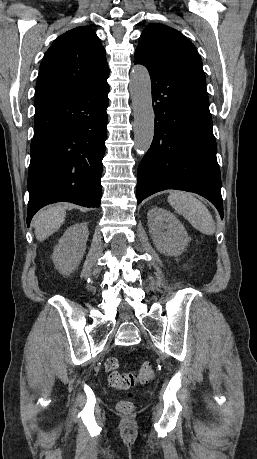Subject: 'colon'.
Masks as SVG:
<instances>
[{"instance_id": "1", "label": "colon", "mask_w": 257, "mask_h": 459, "mask_svg": "<svg viewBox=\"0 0 257 459\" xmlns=\"http://www.w3.org/2000/svg\"><path fill=\"white\" fill-rule=\"evenodd\" d=\"M119 361L116 358H108L105 361V372L108 382L112 387L128 390L133 388L138 383L150 382L155 378L154 366L151 362H145L136 372L120 373L118 371ZM132 394H128V398L121 400L118 403L119 411L123 413H131L133 403L131 401Z\"/></svg>"}]
</instances>
